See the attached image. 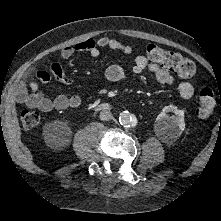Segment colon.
<instances>
[{"label":"colon","mask_w":221,"mask_h":221,"mask_svg":"<svg viewBox=\"0 0 221 221\" xmlns=\"http://www.w3.org/2000/svg\"><path fill=\"white\" fill-rule=\"evenodd\" d=\"M148 59L168 71H174L183 78H191L196 73L195 63L181 54L150 44L146 49ZM216 107L215 94L210 88H203L199 93L197 113L200 117H209ZM21 123L26 129H34L39 123L38 113L26 110L21 114Z\"/></svg>","instance_id":"obj_1"}]
</instances>
